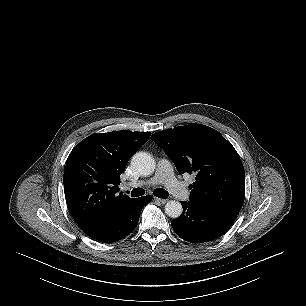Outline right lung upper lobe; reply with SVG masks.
I'll return each instance as SVG.
<instances>
[{
    "label": "right lung upper lobe",
    "mask_w": 306,
    "mask_h": 306,
    "mask_svg": "<svg viewBox=\"0 0 306 306\" xmlns=\"http://www.w3.org/2000/svg\"><path fill=\"white\" fill-rule=\"evenodd\" d=\"M150 132L93 134L68 156L63 176L67 207L82 230L93 236L108 227L133 199L119 191L120 175Z\"/></svg>",
    "instance_id": "1"
}]
</instances>
